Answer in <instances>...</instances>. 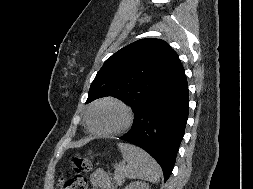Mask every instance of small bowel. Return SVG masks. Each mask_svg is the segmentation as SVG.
Wrapping results in <instances>:
<instances>
[{
  "label": "small bowel",
  "mask_w": 253,
  "mask_h": 189,
  "mask_svg": "<svg viewBox=\"0 0 253 189\" xmlns=\"http://www.w3.org/2000/svg\"><path fill=\"white\" fill-rule=\"evenodd\" d=\"M92 189H115L109 175L102 169L95 170L90 175Z\"/></svg>",
  "instance_id": "small-bowel-1"
}]
</instances>
